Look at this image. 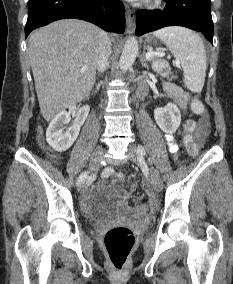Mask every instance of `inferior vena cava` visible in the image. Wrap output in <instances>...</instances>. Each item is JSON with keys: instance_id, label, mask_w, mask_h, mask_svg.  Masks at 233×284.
I'll return each mask as SVG.
<instances>
[{"instance_id": "602c4592", "label": "inferior vena cava", "mask_w": 233, "mask_h": 284, "mask_svg": "<svg viewBox=\"0 0 233 284\" xmlns=\"http://www.w3.org/2000/svg\"><path fill=\"white\" fill-rule=\"evenodd\" d=\"M111 54V42L108 35L101 31L99 35V55L97 67L100 72H104L108 67V58Z\"/></svg>"}]
</instances>
